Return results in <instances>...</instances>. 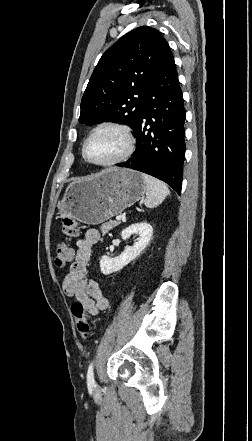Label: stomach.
<instances>
[{
  "label": "stomach",
  "mask_w": 252,
  "mask_h": 441,
  "mask_svg": "<svg viewBox=\"0 0 252 441\" xmlns=\"http://www.w3.org/2000/svg\"><path fill=\"white\" fill-rule=\"evenodd\" d=\"M145 191L141 173L107 169L70 183L57 203L58 214L90 225L100 224L139 201Z\"/></svg>",
  "instance_id": "0dacf381"
}]
</instances>
